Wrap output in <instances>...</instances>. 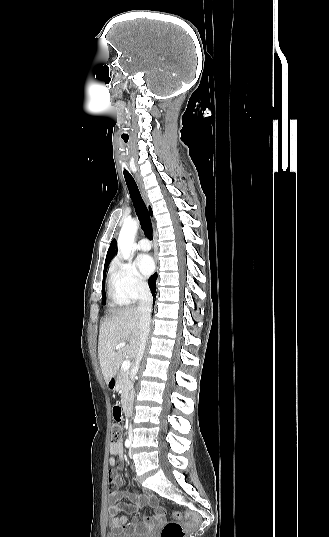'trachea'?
I'll return each mask as SVG.
<instances>
[{"instance_id":"trachea-1","label":"trachea","mask_w":329,"mask_h":537,"mask_svg":"<svg viewBox=\"0 0 329 537\" xmlns=\"http://www.w3.org/2000/svg\"><path fill=\"white\" fill-rule=\"evenodd\" d=\"M124 178L129 190L130 197L135 207L136 214L142 225V229L148 238H153L152 223L146 205L141 197L138 186L131 174L124 169Z\"/></svg>"}]
</instances>
